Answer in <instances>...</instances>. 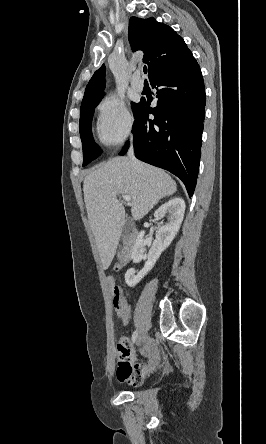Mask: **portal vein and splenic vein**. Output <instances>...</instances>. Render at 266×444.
Segmentation results:
<instances>
[{
    "mask_svg": "<svg viewBox=\"0 0 266 444\" xmlns=\"http://www.w3.org/2000/svg\"><path fill=\"white\" fill-rule=\"evenodd\" d=\"M122 197H123L124 201H126L127 203L131 202V197L129 195L122 194Z\"/></svg>",
    "mask_w": 266,
    "mask_h": 444,
    "instance_id": "obj_1",
    "label": "portal vein and splenic vein"
}]
</instances>
